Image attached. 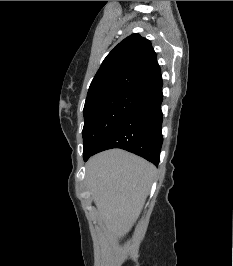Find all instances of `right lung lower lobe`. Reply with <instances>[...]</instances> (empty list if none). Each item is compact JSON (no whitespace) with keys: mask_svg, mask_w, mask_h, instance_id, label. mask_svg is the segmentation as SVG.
Returning <instances> with one entry per match:
<instances>
[{"mask_svg":"<svg viewBox=\"0 0 233 266\" xmlns=\"http://www.w3.org/2000/svg\"><path fill=\"white\" fill-rule=\"evenodd\" d=\"M162 82L147 92L134 109L106 136L84 161L100 151L121 148L158 165L163 142L161 133L163 100Z\"/></svg>","mask_w":233,"mask_h":266,"instance_id":"1","label":"right lung lower lobe"}]
</instances>
